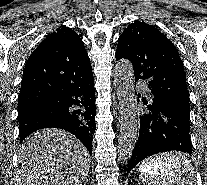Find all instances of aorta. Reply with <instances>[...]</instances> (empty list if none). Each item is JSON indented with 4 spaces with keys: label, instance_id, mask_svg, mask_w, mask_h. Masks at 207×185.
Returning a JSON list of instances; mask_svg holds the SVG:
<instances>
[{
    "label": "aorta",
    "instance_id": "aorta-1",
    "mask_svg": "<svg viewBox=\"0 0 207 185\" xmlns=\"http://www.w3.org/2000/svg\"><path fill=\"white\" fill-rule=\"evenodd\" d=\"M113 77L121 113L117 152L120 160H128L135 148L139 130L134 70L131 62L127 59L117 61L114 67Z\"/></svg>",
    "mask_w": 207,
    "mask_h": 185
}]
</instances>
